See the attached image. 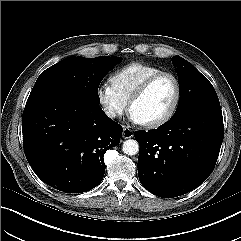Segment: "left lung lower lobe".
<instances>
[{"mask_svg":"<svg viewBox=\"0 0 241 241\" xmlns=\"http://www.w3.org/2000/svg\"><path fill=\"white\" fill-rule=\"evenodd\" d=\"M223 136L221 108L206 106L178 112L158 129L136 131L141 184L163 198L190 192L213 171Z\"/></svg>","mask_w":241,"mask_h":241,"instance_id":"1","label":"left lung lower lobe"}]
</instances>
